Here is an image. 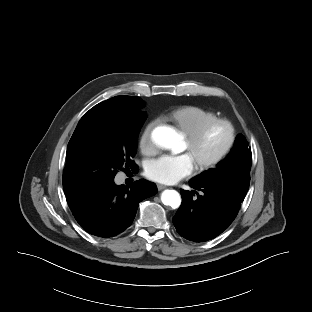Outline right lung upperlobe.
I'll list each match as a JSON object with an SVG mask.
<instances>
[{
    "instance_id": "1",
    "label": "right lung upper lobe",
    "mask_w": 312,
    "mask_h": 312,
    "mask_svg": "<svg viewBox=\"0 0 312 312\" xmlns=\"http://www.w3.org/2000/svg\"><path fill=\"white\" fill-rule=\"evenodd\" d=\"M97 105L98 106L114 105V106L123 107L127 109H136L142 105V100L139 97H133V96H116L104 102H101ZM67 201L71 202L73 200L70 199Z\"/></svg>"
}]
</instances>
